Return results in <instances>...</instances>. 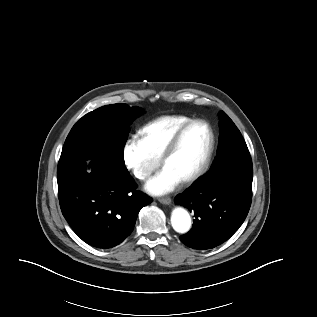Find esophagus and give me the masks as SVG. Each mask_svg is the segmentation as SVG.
Listing matches in <instances>:
<instances>
[{"label":"esophagus","instance_id":"1","mask_svg":"<svg viewBox=\"0 0 317 317\" xmlns=\"http://www.w3.org/2000/svg\"><path fill=\"white\" fill-rule=\"evenodd\" d=\"M159 201H160V203L165 204V205H169L172 202L171 198H169V197L161 198V199H159Z\"/></svg>","mask_w":317,"mask_h":317}]
</instances>
